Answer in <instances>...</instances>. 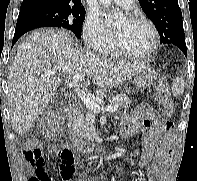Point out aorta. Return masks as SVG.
<instances>
[{
	"mask_svg": "<svg viewBox=\"0 0 197 181\" xmlns=\"http://www.w3.org/2000/svg\"><path fill=\"white\" fill-rule=\"evenodd\" d=\"M101 4H103L106 8H110L111 7V0H99ZM122 18V16L118 13H113L112 14V20H120Z\"/></svg>",
	"mask_w": 197,
	"mask_h": 181,
	"instance_id": "aorta-1",
	"label": "aorta"
}]
</instances>
